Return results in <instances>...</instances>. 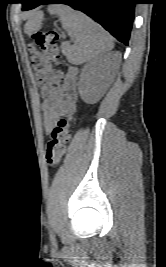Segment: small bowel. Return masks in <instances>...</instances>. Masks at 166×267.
Segmentation results:
<instances>
[{"label":"small bowel","mask_w":166,"mask_h":267,"mask_svg":"<svg viewBox=\"0 0 166 267\" xmlns=\"http://www.w3.org/2000/svg\"><path fill=\"white\" fill-rule=\"evenodd\" d=\"M75 72L72 71L63 79L61 85L54 90L52 95L43 105L45 130L49 132L56 124L59 115L63 112H73L72 99L66 98V93L75 86Z\"/></svg>","instance_id":"1"}]
</instances>
